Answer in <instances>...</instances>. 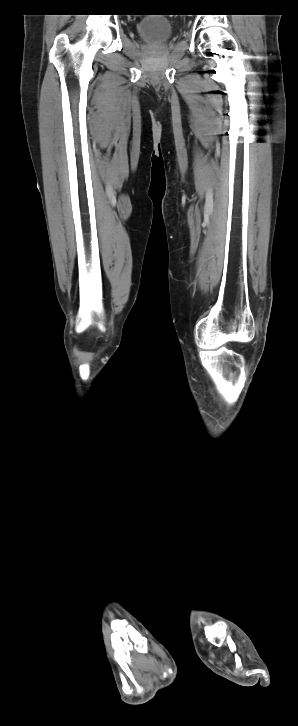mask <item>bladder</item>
I'll use <instances>...</instances> for the list:
<instances>
[{
    "instance_id": "bladder-1",
    "label": "bladder",
    "mask_w": 298,
    "mask_h": 726,
    "mask_svg": "<svg viewBox=\"0 0 298 726\" xmlns=\"http://www.w3.org/2000/svg\"><path fill=\"white\" fill-rule=\"evenodd\" d=\"M172 30V23L160 14H148L136 24L139 37L153 44L166 42L171 37Z\"/></svg>"
}]
</instances>
